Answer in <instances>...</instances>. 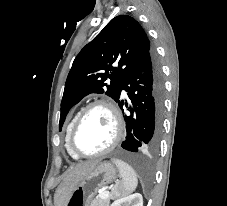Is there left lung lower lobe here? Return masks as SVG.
Wrapping results in <instances>:
<instances>
[{
	"label": "left lung lower lobe",
	"instance_id": "left-lung-lower-lobe-1",
	"mask_svg": "<svg viewBox=\"0 0 227 206\" xmlns=\"http://www.w3.org/2000/svg\"><path fill=\"white\" fill-rule=\"evenodd\" d=\"M122 90L130 100L129 105L125 102L129 113L123 112L126 140L122 148L131 152L154 151L161 134L164 83L153 50L125 77ZM117 102L122 108L123 100Z\"/></svg>",
	"mask_w": 227,
	"mask_h": 206
}]
</instances>
